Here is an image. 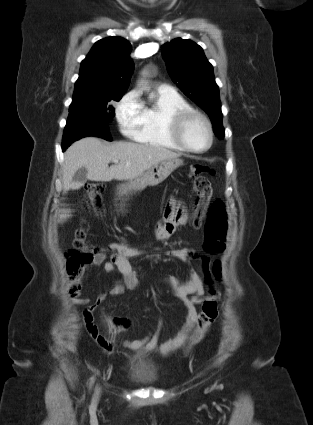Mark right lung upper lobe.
Returning <instances> with one entry per match:
<instances>
[{"label": "right lung upper lobe", "mask_w": 313, "mask_h": 425, "mask_svg": "<svg viewBox=\"0 0 313 425\" xmlns=\"http://www.w3.org/2000/svg\"><path fill=\"white\" fill-rule=\"evenodd\" d=\"M131 50V44L121 37L97 41L81 62L73 98L125 93L133 71Z\"/></svg>", "instance_id": "cb5924a9"}]
</instances>
